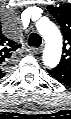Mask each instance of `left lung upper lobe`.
<instances>
[{"label": "left lung upper lobe", "mask_w": 71, "mask_h": 119, "mask_svg": "<svg viewBox=\"0 0 71 119\" xmlns=\"http://www.w3.org/2000/svg\"><path fill=\"white\" fill-rule=\"evenodd\" d=\"M47 9L60 24L64 37L63 55L57 67L71 71V4L59 7L49 5Z\"/></svg>", "instance_id": "1"}]
</instances>
